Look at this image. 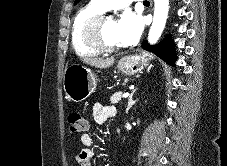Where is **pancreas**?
Here are the masks:
<instances>
[{"instance_id": "obj_1", "label": "pancreas", "mask_w": 227, "mask_h": 166, "mask_svg": "<svg viewBox=\"0 0 227 166\" xmlns=\"http://www.w3.org/2000/svg\"><path fill=\"white\" fill-rule=\"evenodd\" d=\"M122 92L115 93L111 98L110 102L111 104H116L121 100Z\"/></svg>"}]
</instances>
